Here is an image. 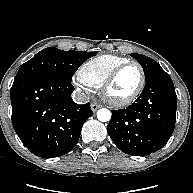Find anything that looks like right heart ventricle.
<instances>
[{"mask_svg": "<svg viewBox=\"0 0 193 193\" xmlns=\"http://www.w3.org/2000/svg\"><path fill=\"white\" fill-rule=\"evenodd\" d=\"M127 61L129 59L117 55H99L84 62L79 69L78 76L84 84L100 88L109 73Z\"/></svg>", "mask_w": 193, "mask_h": 193, "instance_id": "right-heart-ventricle-1", "label": "right heart ventricle"}]
</instances>
